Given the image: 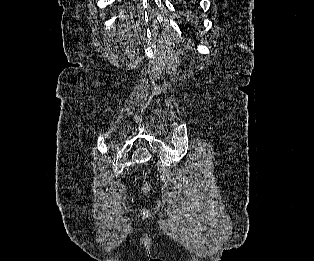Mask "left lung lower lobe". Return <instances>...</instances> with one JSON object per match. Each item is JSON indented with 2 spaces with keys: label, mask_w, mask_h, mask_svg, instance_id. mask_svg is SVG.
<instances>
[{
  "label": "left lung lower lobe",
  "mask_w": 314,
  "mask_h": 261,
  "mask_svg": "<svg viewBox=\"0 0 314 261\" xmlns=\"http://www.w3.org/2000/svg\"><path fill=\"white\" fill-rule=\"evenodd\" d=\"M185 4L187 5V7L189 6V5H188L189 3H188L187 1H185Z\"/></svg>",
  "instance_id": "0a47b994"
}]
</instances>
